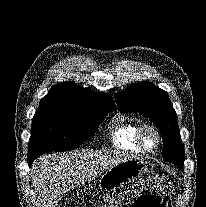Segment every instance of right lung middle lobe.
<instances>
[{"label":"right lung middle lobe","instance_id":"obj_1","mask_svg":"<svg viewBox=\"0 0 206 207\" xmlns=\"http://www.w3.org/2000/svg\"><path fill=\"white\" fill-rule=\"evenodd\" d=\"M110 107L83 109L61 105H39L33 120L28 156L75 149L95 134Z\"/></svg>","mask_w":206,"mask_h":207}]
</instances>
